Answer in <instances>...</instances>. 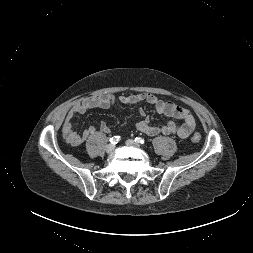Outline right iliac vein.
Segmentation results:
<instances>
[{
    "mask_svg": "<svg viewBox=\"0 0 253 253\" xmlns=\"http://www.w3.org/2000/svg\"><path fill=\"white\" fill-rule=\"evenodd\" d=\"M114 149H115V145H113V144H108L106 146V152H108V153H111L112 151H114Z\"/></svg>",
    "mask_w": 253,
    "mask_h": 253,
    "instance_id": "obj_1",
    "label": "right iliac vein"
}]
</instances>
